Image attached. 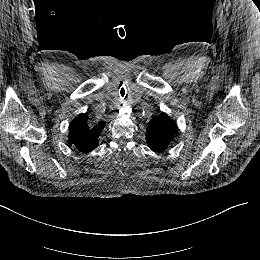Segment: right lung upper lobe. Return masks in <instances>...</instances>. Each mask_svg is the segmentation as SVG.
<instances>
[{"label": "right lung upper lobe", "instance_id": "cb5924a9", "mask_svg": "<svg viewBox=\"0 0 260 260\" xmlns=\"http://www.w3.org/2000/svg\"><path fill=\"white\" fill-rule=\"evenodd\" d=\"M105 122L91 126L86 113L76 117L69 126V145H73L79 151L87 153L95 149L98 144V136L104 128Z\"/></svg>", "mask_w": 260, "mask_h": 260}]
</instances>
